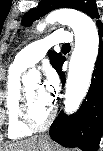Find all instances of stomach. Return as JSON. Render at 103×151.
<instances>
[{
	"label": "stomach",
	"mask_w": 103,
	"mask_h": 151,
	"mask_svg": "<svg viewBox=\"0 0 103 151\" xmlns=\"http://www.w3.org/2000/svg\"><path fill=\"white\" fill-rule=\"evenodd\" d=\"M35 151H56L54 145L46 137H40L36 144Z\"/></svg>",
	"instance_id": "0dacf381"
}]
</instances>
